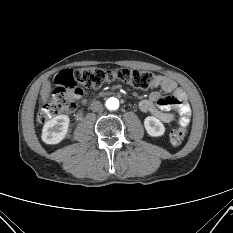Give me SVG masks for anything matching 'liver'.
Masks as SVG:
<instances>
[{"mask_svg": "<svg viewBox=\"0 0 233 233\" xmlns=\"http://www.w3.org/2000/svg\"><path fill=\"white\" fill-rule=\"evenodd\" d=\"M50 92H51V83L48 80H46L42 84V87L40 90V101L42 103H45L48 100L50 96Z\"/></svg>", "mask_w": 233, "mask_h": 233, "instance_id": "liver-1", "label": "liver"}]
</instances>
